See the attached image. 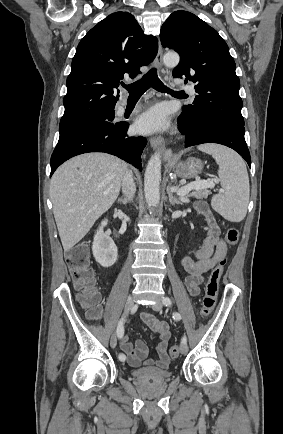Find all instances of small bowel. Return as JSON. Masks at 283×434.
<instances>
[{"instance_id": "obj_1", "label": "small bowel", "mask_w": 283, "mask_h": 434, "mask_svg": "<svg viewBox=\"0 0 283 434\" xmlns=\"http://www.w3.org/2000/svg\"><path fill=\"white\" fill-rule=\"evenodd\" d=\"M195 209L205 217L208 230L203 244L195 252V259L185 256L181 261L185 272L183 284L192 296L199 294L204 274L212 269L216 263L223 260L227 254L226 242L221 237L220 228L208 205L203 201H198L195 203ZM141 318L159 336V342L156 347L158 359L155 361L152 358H148L147 345L141 340L131 342L128 336L119 338L120 348L132 367L155 365L160 369H166L170 363L167 353L168 342L171 336L169 325L164 321L158 320L148 312H144Z\"/></svg>"}]
</instances>
